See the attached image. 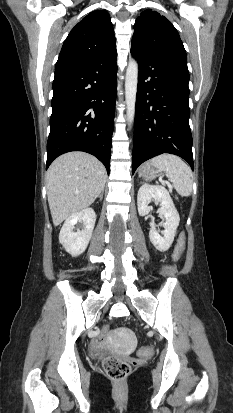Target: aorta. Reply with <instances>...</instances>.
<instances>
[{
	"label": "aorta",
	"mask_w": 233,
	"mask_h": 413,
	"mask_svg": "<svg viewBox=\"0 0 233 413\" xmlns=\"http://www.w3.org/2000/svg\"><path fill=\"white\" fill-rule=\"evenodd\" d=\"M138 63L135 59H130L125 76V102L126 118L132 124L135 118L136 94L138 85Z\"/></svg>",
	"instance_id": "1"
}]
</instances>
